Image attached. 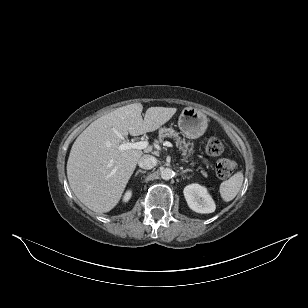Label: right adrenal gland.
<instances>
[{
	"instance_id": "obj_1",
	"label": "right adrenal gland",
	"mask_w": 308,
	"mask_h": 308,
	"mask_svg": "<svg viewBox=\"0 0 308 308\" xmlns=\"http://www.w3.org/2000/svg\"><path fill=\"white\" fill-rule=\"evenodd\" d=\"M139 173H141V174H145V173H146V171H143V170H138V171L136 172L135 176H137Z\"/></svg>"
}]
</instances>
